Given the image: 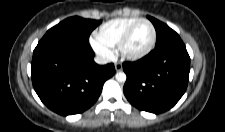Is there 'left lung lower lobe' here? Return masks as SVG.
Returning <instances> with one entry per match:
<instances>
[{"label":"left lung lower lobe","mask_w":225,"mask_h":132,"mask_svg":"<svg viewBox=\"0 0 225 132\" xmlns=\"http://www.w3.org/2000/svg\"><path fill=\"white\" fill-rule=\"evenodd\" d=\"M127 80L123 91L136 108L162 113L172 108L185 93L190 57L182 40L155 47L136 62L123 63Z\"/></svg>","instance_id":"obj_1"}]
</instances>
